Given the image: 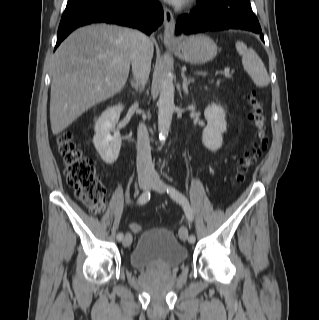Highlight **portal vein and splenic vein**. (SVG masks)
I'll return each instance as SVG.
<instances>
[{
	"mask_svg": "<svg viewBox=\"0 0 319 320\" xmlns=\"http://www.w3.org/2000/svg\"><path fill=\"white\" fill-rule=\"evenodd\" d=\"M198 74H199V75H204V76L207 75V73H205V72H204V73H203V72H198ZM223 75H224L225 77H227V78H230V77L232 76L231 73L229 72V70H225L224 73H223Z\"/></svg>",
	"mask_w": 319,
	"mask_h": 320,
	"instance_id": "obj_1",
	"label": "portal vein and splenic vein"
}]
</instances>
